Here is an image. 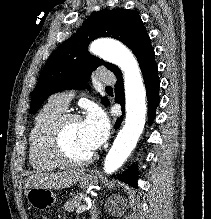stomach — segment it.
I'll return each instance as SVG.
<instances>
[{"label":"stomach","instance_id":"0dacf381","mask_svg":"<svg viewBox=\"0 0 211 219\" xmlns=\"http://www.w3.org/2000/svg\"><path fill=\"white\" fill-rule=\"evenodd\" d=\"M97 183V176L89 173L84 174L79 180V185L81 188H89ZM27 200L31 206L36 209L44 210L51 208L56 203L55 194L45 188H29L26 193Z\"/></svg>","mask_w":211,"mask_h":219}]
</instances>
